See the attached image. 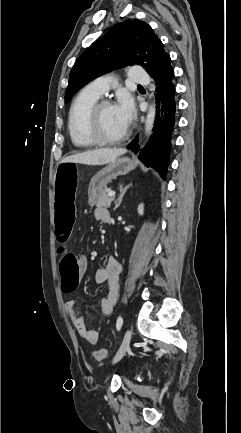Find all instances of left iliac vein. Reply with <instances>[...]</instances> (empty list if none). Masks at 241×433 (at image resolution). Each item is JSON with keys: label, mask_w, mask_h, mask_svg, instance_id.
I'll return each mask as SVG.
<instances>
[{"label": "left iliac vein", "mask_w": 241, "mask_h": 433, "mask_svg": "<svg viewBox=\"0 0 241 433\" xmlns=\"http://www.w3.org/2000/svg\"><path fill=\"white\" fill-rule=\"evenodd\" d=\"M131 335H132L131 331L129 329H127L125 334H124V338H123V341L121 343V346L113 358V361H112L113 364L120 361L122 359V357L125 355V353L127 352V350L129 349V345H130V341H131Z\"/></svg>", "instance_id": "1"}]
</instances>
